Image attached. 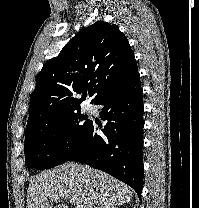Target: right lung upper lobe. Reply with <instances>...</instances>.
Listing matches in <instances>:
<instances>
[{
  "label": "right lung upper lobe",
  "mask_w": 199,
  "mask_h": 208,
  "mask_svg": "<svg viewBox=\"0 0 199 208\" xmlns=\"http://www.w3.org/2000/svg\"><path fill=\"white\" fill-rule=\"evenodd\" d=\"M137 74L133 51L116 25L98 21L84 28L38 73L25 134L80 109L87 93L95 103Z\"/></svg>",
  "instance_id": "1"
}]
</instances>
